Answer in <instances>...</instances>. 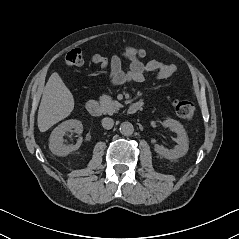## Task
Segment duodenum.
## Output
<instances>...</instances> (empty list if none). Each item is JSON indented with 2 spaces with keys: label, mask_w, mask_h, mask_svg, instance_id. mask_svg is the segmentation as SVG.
Masks as SVG:
<instances>
[{
  "label": "duodenum",
  "mask_w": 239,
  "mask_h": 239,
  "mask_svg": "<svg viewBox=\"0 0 239 239\" xmlns=\"http://www.w3.org/2000/svg\"><path fill=\"white\" fill-rule=\"evenodd\" d=\"M143 107L142 101H137L129 105L128 107V113L129 114H135L139 112ZM86 109L89 114L93 116H99L101 114V107L99 103L96 100H89L86 105Z\"/></svg>",
  "instance_id": "1"
}]
</instances>
